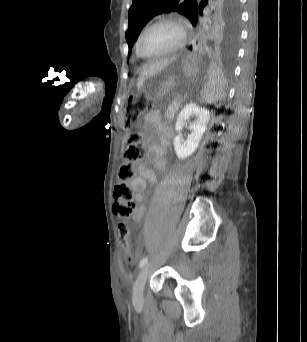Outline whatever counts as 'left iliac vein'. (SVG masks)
<instances>
[{
	"label": "left iliac vein",
	"instance_id": "left-iliac-vein-1",
	"mask_svg": "<svg viewBox=\"0 0 307 342\" xmlns=\"http://www.w3.org/2000/svg\"><path fill=\"white\" fill-rule=\"evenodd\" d=\"M151 265L146 264L140 271L133 290V302L142 303L144 299V287Z\"/></svg>",
	"mask_w": 307,
	"mask_h": 342
}]
</instances>
